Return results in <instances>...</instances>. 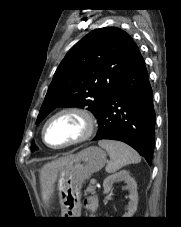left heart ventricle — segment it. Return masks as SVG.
<instances>
[{
    "mask_svg": "<svg viewBox=\"0 0 181 227\" xmlns=\"http://www.w3.org/2000/svg\"><path fill=\"white\" fill-rule=\"evenodd\" d=\"M83 129L81 120L73 115H62L54 119L46 129V140L58 146L78 137Z\"/></svg>",
    "mask_w": 181,
    "mask_h": 227,
    "instance_id": "obj_1",
    "label": "left heart ventricle"
}]
</instances>
